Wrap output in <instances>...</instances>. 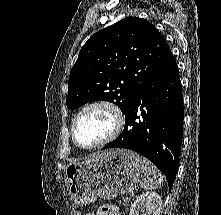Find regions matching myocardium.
Segmentation results:
<instances>
[{
    "instance_id": "obj_1",
    "label": "myocardium",
    "mask_w": 221,
    "mask_h": 215,
    "mask_svg": "<svg viewBox=\"0 0 221 215\" xmlns=\"http://www.w3.org/2000/svg\"><path fill=\"white\" fill-rule=\"evenodd\" d=\"M95 107H103V108L108 109L113 116L114 126H113L111 133L100 142L90 145V146H83L77 140L76 125L84 112ZM124 126H125V116L121 108L113 101H110L107 99H98V100L91 101L80 108V110L77 112V114L75 115L73 119L72 126H71V134H72L73 142L75 143L77 147L84 149V150H92V149L100 148L112 142L113 140H115L123 131Z\"/></svg>"
}]
</instances>
